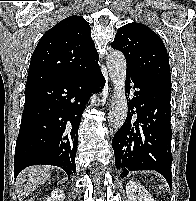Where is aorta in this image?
<instances>
[{"mask_svg": "<svg viewBox=\"0 0 196 201\" xmlns=\"http://www.w3.org/2000/svg\"><path fill=\"white\" fill-rule=\"evenodd\" d=\"M107 68L114 85V94L108 121L112 129L118 130L124 124L128 105L125 95L126 60L121 51L114 50L107 56Z\"/></svg>", "mask_w": 196, "mask_h": 201, "instance_id": "1", "label": "aorta"}]
</instances>
